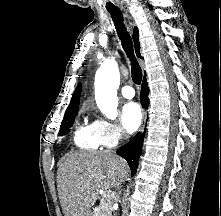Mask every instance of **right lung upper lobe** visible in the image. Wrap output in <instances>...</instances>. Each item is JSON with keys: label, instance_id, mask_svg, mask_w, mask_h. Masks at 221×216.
I'll use <instances>...</instances> for the list:
<instances>
[{"label": "right lung upper lobe", "instance_id": "cb5924a9", "mask_svg": "<svg viewBox=\"0 0 221 216\" xmlns=\"http://www.w3.org/2000/svg\"><path fill=\"white\" fill-rule=\"evenodd\" d=\"M133 40H134L136 54L138 57H141V55L139 53L140 43H139V39H138V29L137 28H134ZM80 94H81V85L79 84L77 86L76 90L74 91L73 97H72L71 102L65 112V115H69L71 113L78 112V106H79V102H80Z\"/></svg>", "mask_w": 221, "mask_h": 216}]
</instances>
